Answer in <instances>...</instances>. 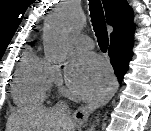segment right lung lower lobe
I'll return each instance as SVG.
<instances>
[{
	"label": "right lung lower lobe",
	"instance_id": "98d812e1",
	"mask_svg": "<svg viewBox=\"0 0 151 131\" xmlns=\"http://www.w3.org/2000/svg\"><path fill=\"white\" fill-rule=\"evenodd\" d=\"M133 42H120L116 44H110L108 53L110 56V62L113 65L116 75L119 81H121L123 75L129 68V62L132 59Z\"/></svg>",
	"mask_w": 151,
	"mask_h": 131
}]
</instances>
